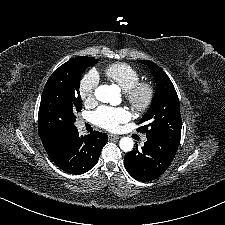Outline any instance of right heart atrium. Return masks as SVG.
<instances>
[{"mask_svg":"<svg viewBox=\"0 0 225 225\" xmlns=\"http://www.w3.org/2000/svg\"><path fill=\"white\" fill-rule=\"evenodd\" d=\"M99 83V76L96 71L90 70L81 78L79 84V96L86 105L96 102V89Z\"/></svg>","mask_w":225,"mask_h":225,"instance_id":"obj_1","label":"right heart atrium"}]
</instances>
